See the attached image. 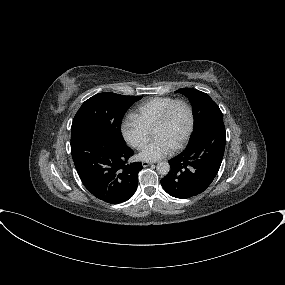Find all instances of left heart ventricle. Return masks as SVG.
Segmentation results:
<instances>
[{"label": "left heart ventricle", "instance_id": "obj_1", "mask_svg": "<svg viewBox=\"0 0 285 285\" xmlns=\"http://www.w3.org/2000/svg\"><path fill=\"white\" fill-rule=\"evenodd\" d=\"M189 125V114L183 105H177L168 120L153 132L155 137H164L174 147L184 138Z\"/></svg>", "mask_w": 285, "mask_h": 285}]
</instances>
